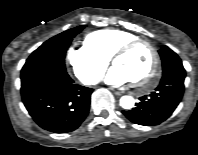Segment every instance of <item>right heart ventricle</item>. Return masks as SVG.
Returning <instances> with one entry per match:
<instances>
[{"label": "right heart ventricle", "mask_w": 198, "mask_h": 155, "mask_svg": "<svg viewBox=\"0 0 198 155\" xmlns=\"http://www.w3.org/2000/svg\"><path fill=\"white\" fill-rule=\"evenodd\" d=\"M134 38H137V36L131 32L107 28L88 34L85 44L100 56L109 60L119 46Z\"/></svg>", "instance_id": "1"}]
</instances>
